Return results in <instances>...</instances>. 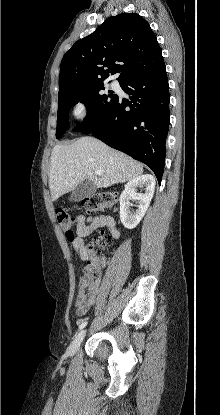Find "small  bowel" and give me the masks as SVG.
Segmentation results:
<instances>
[{
	"label": "small bowel",
	"mask_w": 220,
	"mask_h": 415,
	"mask_svg": "<svg viewBox=\"0 0 220 415\" xmlns=\"http://www.w3.org/2000/svg\"><path fill=\"white\" fill-rule=\"evenodd\" d=\"M76 227L74 232H66L67 239L71 242L81 259L88 257L85 243L86 237L106 229L113 238L118 237L115 220L110 215L85 217L78 215L75 219ZM99 293V282L82 277L79 280L75 298V308L78 316H84L95 304Z\"/></svg>",
	"instance_id": "small-bowel-1"
}]
</instances>
